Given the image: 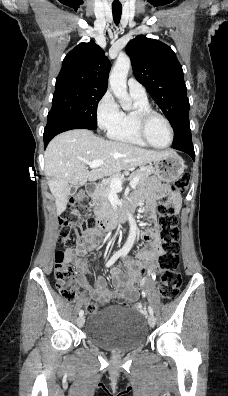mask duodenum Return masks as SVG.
Instances as JSON below:
<instances>
[{"mask_svg": "<svg viewBox=\"0 0 228 396\" xmlns=\"http://www.w3.org/2000/svg\"><path fill=\"white\" fill-rule=\"evenodd\" d=\"M88 194L93 196L95 193V186L89 185ZM136 208L134 203L127 204L121 208H117L113 211V215L109 218H103L99 220V227L104 232L113 231L119 224L123 223L126 218L131 216L132 211Z\"/></svg>", "mask_w": 228, "mask_h": 396, "instance_id": "duodenum-1", "label": "duodenum"}]
</instances>
